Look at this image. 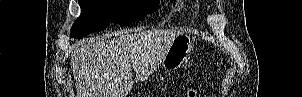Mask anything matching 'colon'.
Masks as SVG:
<instances>
[{
	"instance_id": "5ec220e1",
	"label": "colon",
	"mask_w": 302,
	"mask_h": 97,
	"mask_svg": "<svg viewBox=\"0 0 302 97\" xmlns=\"http://www.w3.org/2000/svg\"><path fill=\"white\" fill-rule=\"evenodd\" d=\"M199 96V93L197 90H190L188 93H187V97H198Z\"/></svg>"
}]
</instances>
